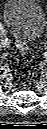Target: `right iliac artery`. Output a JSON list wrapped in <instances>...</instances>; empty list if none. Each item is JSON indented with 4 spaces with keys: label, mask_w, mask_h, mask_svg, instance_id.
<instances>
[{
    "label": "right iliac artery",
    "mask_w": 47,
    "mask_h": 129,
    "mask_svg": "<svg viewBox=\"0 0 47 129\" xmlns=\"http://www.w3.org/2000/svg\"><path fill=\"white\" fill-rule=\"evenodd\" d=\"M0 30H1V33H2L1 36L3 37V35H4V34H3V33H4V30H3L2 28H0ZM7 41H8L7 38H3L2 43H3V44H6Z\"/></svg>",
    "instance_id": "right-iliac-artery-1"
}]
</instances>
